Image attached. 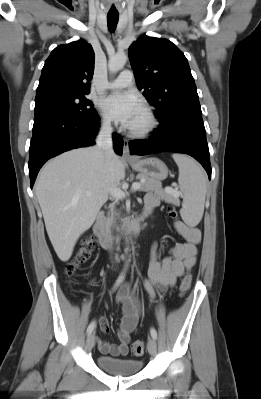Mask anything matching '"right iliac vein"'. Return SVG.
Wrapping results in <instances>:
<instances>
[{
  "label": "right iliac vein",
  "mask_w": 261,
  "mask_h": 399,
  "mask_svg": "<svg viewBox=\"0 0 261 399\" xmlns=\"http://www.w3.org/2000/svg\"><path fill=\"white\" fill-rule=\"evenodd\" d=\"M95 345V335L90 334L86 340V348L87 350H91Z\"/></svg>",
  "instance_id": "right-iliac-vein-1"
}]
</instances>
